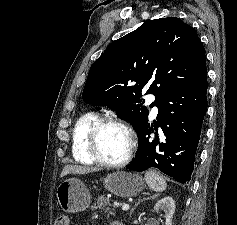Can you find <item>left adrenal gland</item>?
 I'll return each mask as SVG.
<instances>
[{
	"label": "left adrenal gland",
	"mask_w": 237,
	"mask_h": 225,
	"mask_svg": "<svg viewBox=\"0 0 237 225\" xmlns=\"http://www.w3.org/2000/svg\"><path fill=\"white\" fill-rule=\"evenodd\" d=\"M157 195H153V196H150V197H147V198H144V199H139L138 202L134 205V207L131 209L130 211V216L132 215V213L134 212L135 208L143 201H146V200H149V199H154L156 198Z\"/></svg>",
	"instance_id": "a2214340"
}]
</instances>
